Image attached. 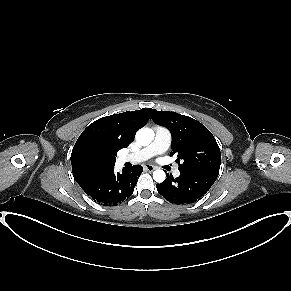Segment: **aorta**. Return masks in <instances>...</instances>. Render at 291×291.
<instances>
[{
  "label": "aorta",
  "instance_id": "obj_1",
  "mask_svg": "<svg viewBox=\"0 0 291 291\" xmlns=\"http://www.w3.org/2000/svg\"><path fill=\"white\" fill-rule=\"evenodd\" d=\"M136 139L138 143H140L141 145L147 146L152 141V133L147 128H141L136 133ZM165 178H166V175L163 170H156L153 172V179L156 182L161 183L165 180Z\"/></svg>",
  "mask_w": 291,
  "mask_h": 291
}]
</instances>
